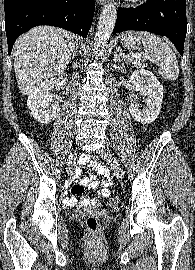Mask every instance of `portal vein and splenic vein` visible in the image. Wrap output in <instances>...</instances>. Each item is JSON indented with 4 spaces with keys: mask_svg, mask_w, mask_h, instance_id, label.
I'll use <instances>...</instances> for the list:
<instances>
[{
    "mask_svg": "<svg viewBox=\"0 0 195 270\" xmlns=\"http://www.w3.org/2000/svg\"><path fill=\"white\" fill-rule=\"evenodd\" d=\"M120 56H121V58H126V57H128L126 54H124V53H120ZM132 57H135V58H139V59H141V58H143V57H145V55L144 54H132L131 55Z\"/></svg>",
    "mask_w": 195,
    "mask_h": 270,
    "instance_id": "1",
    "label": "portal vein and splenic vein"
}]
</instances>
